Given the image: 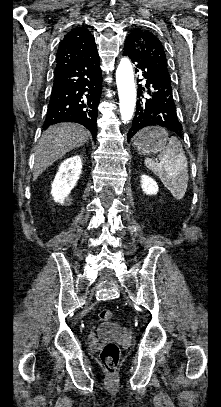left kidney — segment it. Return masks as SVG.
<instances>
[{"label":"left kidney","instance_id":"5707ae66","mask_svg":"<svg viewBox=\"0 0 221 407\" xmlns=\"http://www.w3.org/2000/svg\"><path fill=\"white\" fill-rule=\"evenodd\" d=\"M141 188L148 195H155L158 192V185L151 177L147 175L141 176Z\"/></svg>","mask_w":221,"mask_h":407}]
</instances>
